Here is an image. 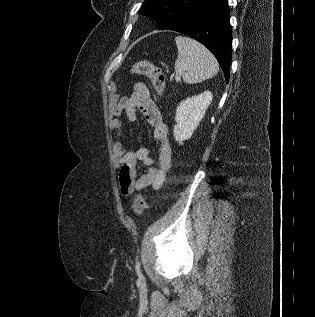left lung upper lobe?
<instances>
[{"mask_svg": "<svg viewBox=\"0 0 315 317\" xmlns=\"http://www.w3.org/2000/svg\"><path fill=\"white\" fill-rule=\"evenodd\" d=\"M198 0H145L141 12L157 21L159 29H168L177 23Z\"/></svg>", "mask_w": 315, "mask_h": 317, "instance_id": "left-lung-upper-lobe-1", "label": "left lung upper lobe"}]
</instances>
